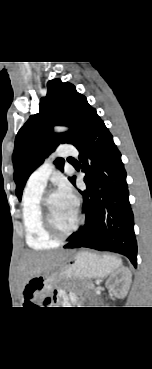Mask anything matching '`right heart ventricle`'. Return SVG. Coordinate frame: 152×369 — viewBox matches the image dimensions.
<instances>
[{"mask_svg": "<svg viewBox=\"0 0 152 369\" xmlns=\"http://www.w3.org/2000/svg\"><path fill=\"white\" fill-rule=\"evenodd\" d=\"M43 189L26 186L22 196V220L29 247L36 250L58 246L59 241L45 230L42 220L41 199Z\"/></svg>", "mask_w": 152, "mask_h": 369, "instance_id": "1", "label": "right heart ventricle"}]
</instances>
